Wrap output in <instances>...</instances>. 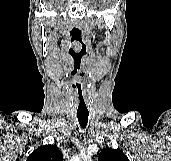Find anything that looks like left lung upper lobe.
I'll list each match as a JSON object with an SVG mask.
<instances>
[{
	"label": "left lung upper lobe",
	"mask_w": 171,
	"mask_h": 161,
	"mask_svg": "<svg viewBox=\"0 0 171 161\" xmlns=\"http://www.w3.org/2000/svg\"><path fill=\"white\" fill-rule=\"evenodd\" d=\"M99 161H129L120 149L106 147L99 154Z\"/></svg>",
	"instance_id": "left-lung-upper-lobe-1"
}]
</instances>
